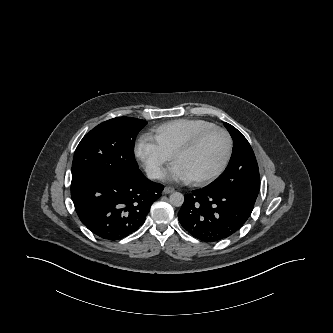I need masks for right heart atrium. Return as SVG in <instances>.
Returning a JSON list of instances; mask_svg holds the SVG:
<instances>
[{
	"label": "right heart atrium",
	"instance_id": "d8ad5b80",
	"mask_svg": "<svg viewBox=\"0 0 333 333\" xmlns=\"http://www.w3.org/2000/svg\"><path fill=\"white\" fill-rule=\"evenodd\" d=\"M136 157L144 164L148 174L154 179L164 175L165 165L171 160V155L164 151L156 142L142 137L135 146Z\"/></svg>",
	"mask_w": 333,
	"mask_h": 333
}]
</instances>
